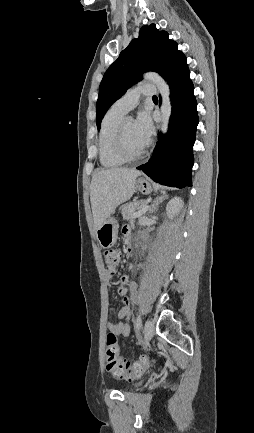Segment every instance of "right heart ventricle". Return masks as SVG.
Listing matches in <instances>:
<instances>
[{"instance_id":"obj_1","label":"right heart ventricle","mask_w":254,"mask_h":433,"mask_svg":"<svg viewBox=\"0 0 254 433\" xmlns=\"http://www.w3.org/2000/svg\"><path fill=\"white\" fill-rule=\"evenodd\" d=\"M123 113L110 109L104 116L98 138L99 161L105 168H117L125 164L116 151L115 138Z\"/></svg>"}]
</instances>
